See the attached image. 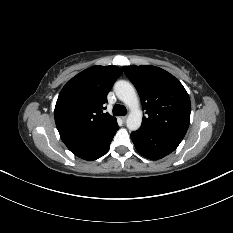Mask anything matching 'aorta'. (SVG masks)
<instances>
[{"label": "aorta", "mask_w": 233, "mask_h": 233, "mask_svg": "<svg viewBox=\"0 0 233 233\" xmlns=\"http://www.w3.org/2000/svg\"><path fill=\"white\" fill-rule=\"evenodd\" d=\"M114 91L118 99L130 109L127 128L131 131L138 130L142 123V111L134 86L128 81L119 80L114 84Z\"/></svg>", "instance_id": "1"}]
</instances>
